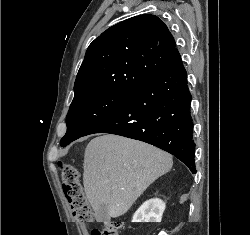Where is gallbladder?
Segmentation results:
<instances>
[{
	"instance_id": "obj_1",
	"label": "gallbladder",
	"mask_w": 250,
	"mask_h": 235,
	"mask_svg": "<svg viewBox=\"0 0 250 235\" xmlns=\"http://www.w3.org/2000/svg\"><path fill=\"white\" fill-rule=\"evenodd\" d=\"M97 217L99 222L108 223L110 221L111 217L108 213V208L106 205L102 204L100 206Z\"/></svg>"
}]
</instances>
